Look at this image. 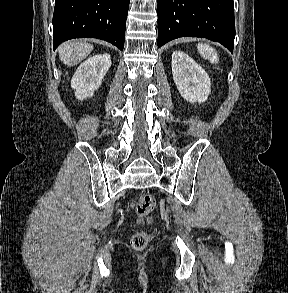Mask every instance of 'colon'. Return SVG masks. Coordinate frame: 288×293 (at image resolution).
Returning a JSON list of instances; mask_svg holds the SVG:
<instances>
[{"instance_id":"1","label":"colon","mask_w":288,"mask_h":293,"mask_svg":"<svg viewBox=\"0 0 288 293\" xmlns=\"http://www.w3.org/2000/svg\"><path fill=\"white\" fill-rule=\"evenodd\" d=\"M155 207V198L150 194H142L135 203V211L140 220L148 218ZM151 240V236L145 232H138L132 236L131 244L136 250H144Z\"/></svg>"}]
</instances>
